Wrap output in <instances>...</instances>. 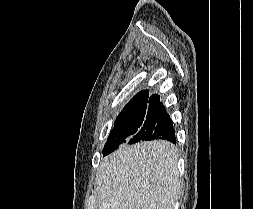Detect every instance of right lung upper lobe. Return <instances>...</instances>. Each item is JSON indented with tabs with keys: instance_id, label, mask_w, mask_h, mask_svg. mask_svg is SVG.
<instances>
[{
	"instance_id": "cb5924a9",
	"label": "right lung upper lobe",
	"mask_w": 253,
	"mask_h": 209,
	"mask_svg": "<svg viewBox=\"0 0 253 209\" xmlns=\"http://www.w3.org/2000/svg\"><path fill=\"white\" fill-rule=\"evenodd\" d=\"M160 100L158 95H152L149 97L148 90L139 92L134 96L131 101L124 107L122 112L119 114V117L129 116L133 113L144 109H150L154 103Z\"/></svg>"
}]
</instances>
